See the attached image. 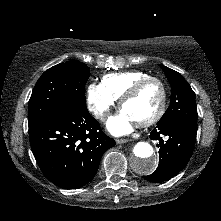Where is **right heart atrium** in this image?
Wrapping results in <instances>:
<instances>
[{
  "label": "right heart atrium",
  "instance_id": "obj_1",
  "mask_svg": "<svg viewBox=\"0 0 221 221\" xmlns=\"http://www.w3.org/2000/svg\"><path fill=\"white\" fill-rule=\"evenodd\" d=\"M116 99L102 84L91 83L87 88V105L92 114L105 121L114 107Z\"/></svg>",
  "mask_w": 221,
  "mask_h": 221
}]
</instances>
